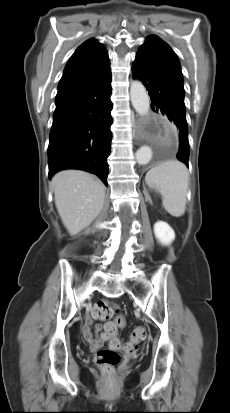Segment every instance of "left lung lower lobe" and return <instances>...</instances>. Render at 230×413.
<instances>
[{
    "label": "left lung lower lobe",
    "instance_id": "obj_1",
    "mask_svg": "<svg viewBox=\"0 0 230 413\" xmlns=\"http://www.w3.org/2000/svg\"><path fill=\"white\" fill-rule=\"evenodd\" d=\"M132 75L146 86L152 110L161 112L177 126L180 143L177 158L188 167L189 145L183 79L160 58L145 50H138L132 65Z\"/></svg>",
    "mask_w": 230,
    "mask_h": 413
}]
</instances>
